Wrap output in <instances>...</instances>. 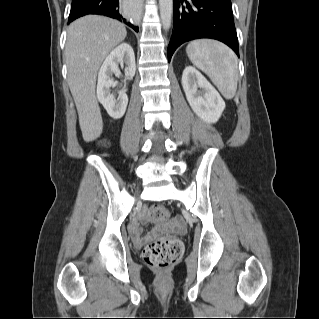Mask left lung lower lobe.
I'll list each match as a JSON object with an SVG mask.
<instances>
[{"mask_svg":"<svg viewBox=\"0 0 319 319\" xmlns=\"http://www.w3.org/2000/svg\"><path fill=\"white\" fill-rule=\"evenodd\" d=\"M173 0L174 24L168 46V61L183 43L211 38L228 45L239 57L238 38L231 0Z\"/></svg>","mask_w":319,"mask_h":319,"instance_id":"1","label":"left lung lower lobe"}]
</instances>
